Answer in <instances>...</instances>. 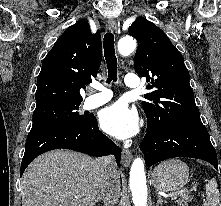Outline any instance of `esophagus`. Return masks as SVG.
<instances>
[{"instance_id":"obj_1","label":"esophagus","mask_w":221,"mask_h":206,"mask_svg":"<svg viewBox=\"0 0 221 206\" xmlns=\"http://www.w3.org/2000/svg\"><path fill=\"white\" fill-rule=\"evenodd\" d=\"M108 26L112 31L117 32L118 24L115 19H109ZM132 158H133L132 153L129 150H127V149L122 150V164H123V166L128 167L132 161Z\"/></svg>"}]
</instances>
